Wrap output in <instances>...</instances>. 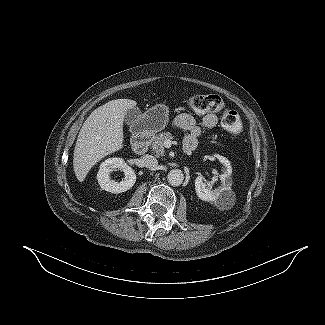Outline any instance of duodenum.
Here are the masks:
<instances>
[{
	"label": "duodenum",
	"mask_w": 325,
	"mask_h": 325,
	"mask_svg": "<svg viewBox=\"0 0 325 325\" xmlns=\"http://www.w3.org/2000/svg\"><path fill=\"white\" fill-rule=\"evenodd\" d=\"M151 139V134L149 133H139L136 134L132 141V149L137 154L144 153L149 145V141ZM194 149L192 147H184L185 153H190Z\"/></svg>",
	"instance_id": "1"
}]
</instances>
